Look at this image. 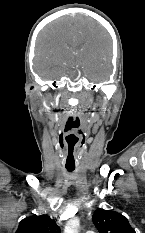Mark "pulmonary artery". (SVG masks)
Segmentation results:
<instances>
[{"label":"pulmonary artery","instance_id":"1","mask_svg":"<svg viewBox=\"0 0 145 233\" xmlns=\"http://www.w3.org/2000/svg\"><path fill=\"white\" fill-rule=\"evenodd\" d=\"M86 233H95L94 230H88Z\"/></svg>","mask_w":145,"mask_h":233}]
</instances>
